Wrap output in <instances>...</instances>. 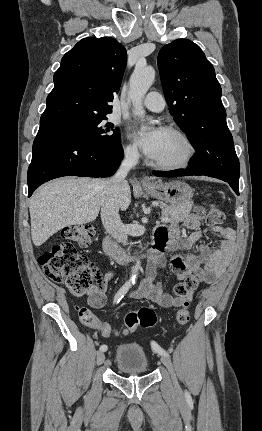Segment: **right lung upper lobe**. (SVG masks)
<instances>
[{
  "label": "right lung upper lobe",
  "mask_w": 262,
  "mask_h": 431,
  "mask_svg": "<svg viewBox=\"0 0 262 431\" xmlns=\"http://www.w3.org/2000/svg\"><path fill=\"white\" fill-rule=\"evenodd\" d=\"M126 49L110 37L79 41L55 72L40 127L112 113L126 67Z\"/></svg>",
  "instance_id": "cb5924a9"
}]
</instances>
